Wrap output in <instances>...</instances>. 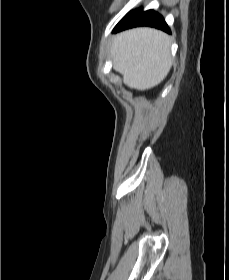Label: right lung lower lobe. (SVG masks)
Wrapping results in <instances>:
<instances>
[{"mask_svg": "<svg viewBox=\"0 0 229 280\" xmlns=\"http://www.w3.org/2000/svg\"><path fill=\"white\" fill-rule=\"evenodd\" d=\"M137 26H150L170 33V29L163 17L154 10L143 11L142 8L129 12L114 28L119 32Z\"/></svg>", "mask_w": 229, "mask_h": 280, "instance_id": "right-lung-lower-lobe-1", "label": "right lung lower lobe"}]
</instances>
